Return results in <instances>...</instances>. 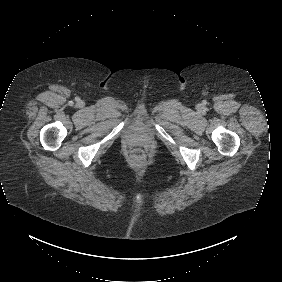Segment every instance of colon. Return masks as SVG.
Returning a JSON list of instances; mask_svg holds the SVG:
<instances>
[{
    "mask_svg": "<svg viewBox=\"0 0 282 282\" xmlns=\"http://www.w3.org/2000/svg\"><path fill=\"white\" fill-rule=\"evenodd\" d=\"M130 161L136 167H143L149 161V154L146 149L137 147L130 154Z\"/></svg>",
    "mask_w": 282,
    "mask_h": 282,
    "instance_id": "5ec220e1",
    "label": "colon"
}]
</instances>
